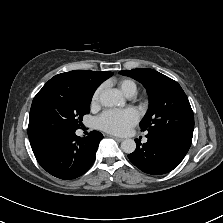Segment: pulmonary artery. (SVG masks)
<instances>
[{"instance_id":"pulmonary-artery-1","label":"pulmonary artery","mask_w":223,"mask_h":223,"mask_svg":"<svg viewBox=\"0 0 223 223\" xmlns=\"http://www.w3.org/2000/svg\"><path fill=\"white\" fill-rule=\"evenodd\" d=\"M128 97H129V98H133V97H134V95H133V94H130V95H128Z\"/></svg>"}]
</instances>
